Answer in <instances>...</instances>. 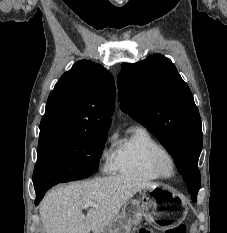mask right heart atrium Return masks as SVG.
Wrapping results in <instances>:
<instances>
[{
    "instance_id": "obj_1",
    "label": "right heart atrium",
    "mask_w": 227,
    "mask_h": 233,
    "mask_svg": "<svg viewBox=\"0 0 227 233\" xmlns=\"http://www.w3.org/2000/svg\"><path fill=\"white\" fill-rule=\"evenodd\" d=\"M112 140V136H109L104 145L102 146L99 154V161L101 164V169L104 172L112 170V162L114 157V152L108 147L109 142Z\"/></svg>"
}]
</instances>
